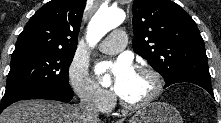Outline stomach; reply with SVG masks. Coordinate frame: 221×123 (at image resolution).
Listing matches in <instances>:
<instances>
[{
    "label": "stomach",
    "instance_id": "1",
    "mask_svg": "<svg viewBox=\"0 0 221 123\" xmlns=\"http://www.w3.org/2000/svg\"><path fill=\"white\" fill-rule=\"evenodd\" d=\"M129 123H183V119L172 105L153 102L136 111Z\"/></svg>",
    "mask_w": 221,
    "mask_h": 123
}]
</instances>
